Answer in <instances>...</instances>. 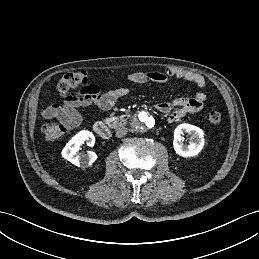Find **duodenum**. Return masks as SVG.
<instances>
[{
    "label": "duodenum",
    "mask_w": 259,
    "mask_h": 259,
    "mask_svg": "<svg viewBox=\"0 0 259 259\" xmlns=\"http://www.w3.org/2000/svg\"><path fill=\"white\" fill-rule=\"evenodd\" d=\"M128 120H129V116H126V115L120 116L113 121V125L120 126L122 124H126ZM94 131L99 137L103 139H108L111 136L110 126L101 121H98L94 124Z\"/></svg>",
    "instance_id": "obj_1"
}]
</instances>
